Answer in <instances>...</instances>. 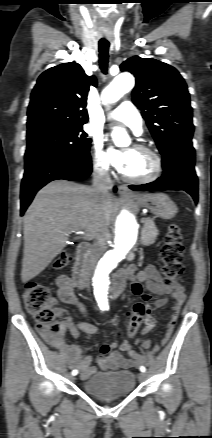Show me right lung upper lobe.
Segmentation results:
<instances>
[{
    "label": "right lung upper lobe",
    "instance_id": "right-lung-upper-lobe-1",
    "mask_svg": "<svg viewBox=\"0 0 212 438\" xmlns=\"http://www.w3.org/2000/svg\"><path fill=\"white\" fill-rule=\"evenodd\" d=\"M88 77L75 63H63L43 72L37 80L28 107V130L44 125L81 127L88 121L85 109L90 85Z\"/></svg>",
    "mask_w": 212,
    "mask_h": 438
}]
</instances>
